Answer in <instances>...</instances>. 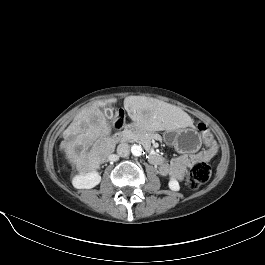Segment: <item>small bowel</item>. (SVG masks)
Here are the masks:
<instances>
[{"label":"small bowel","mask_w":265,"mask_h":265,"mask_svg":"<svg viewBox=\"0 0 265 265\" xmlns=\"http://www.w3.org/2000/svg\"><path fill=\"white\" fill-rule=\"evenodd\" d=\"M207 148L194 154H182L170 161L158 166L159 173L162 176H170L176 180H182L187 169L197 162L208 161L213 158L218 152L217 144L212 140L211 143H206Z\"/></svg>","instance_id":"obj_1"}]
</instances>
